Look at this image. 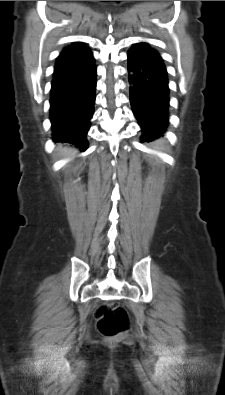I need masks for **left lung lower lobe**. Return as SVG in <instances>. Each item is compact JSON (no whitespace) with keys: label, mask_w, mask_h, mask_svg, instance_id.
<instances>
[{"label":"left lung lower lobe","mask_w":225,"mask_h":395,"mask_svg":"<svg viewBox=\"0 0 225 395\" xmlns=\"http://www.w3.org/2000/svg\"><path fill=\"white\" fill-rule=\"evenodd\" d=\"M130 103L142 130L141 141H153L166 132L169 119V80L162 59L138 58L128 52Z\"/></svg>","instance_id":"left-lung-lower-lobe-1"}]
</instances>
